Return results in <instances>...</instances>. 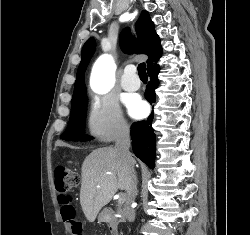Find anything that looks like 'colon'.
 I'll return each mask as SVG.
<instances>
[{"instance_id": "colon-1", "label": "colon", "mask_w": 250, "mask_h": 235, "mask_svg": "<svg viewBox=\"0 0 250 235\" xmlns=\"http://www.w3.org/2000/svg\"><path fill=\"white\" fill-rule=\"evenodd\" d=\"M78 183L79 176L76 171L64 165L56 168L55 186L60 194L59 203L61 205L62 217L70 225L73 235H84L83 223L77 215L72 197L67 194Z\"/></svg>"}]
</instances>
